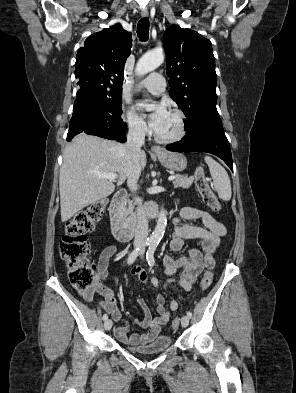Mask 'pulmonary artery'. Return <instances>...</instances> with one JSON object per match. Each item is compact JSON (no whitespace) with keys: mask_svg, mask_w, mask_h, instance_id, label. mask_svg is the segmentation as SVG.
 Masks as SVG:
<instances>
[{"mask_svg":"<svg viewBox=\"0 0 296 393\" xmlns=\"http://www.w3.org/2000/svg\"><path fill=\"white\" fill-rule=\"evenodd\" d=\"M140 85L153 94H161L165 91V79L159 73L150 74Z\"/></svg>","mask_w":296,"mask_h":393,"instance_id":"obj_1","label":"pulmonary artery"}]
</instances>
